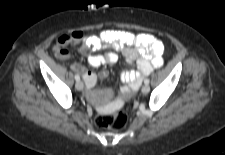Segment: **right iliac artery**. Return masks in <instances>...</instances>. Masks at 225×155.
<instances>
[{"mask_svg": "<svg viewBox=\"0 0 225 155\" xmlns=\"http://www.w3.org/2000/svg\"><path fill=\"white\" fill-rule=\"evenodd\" d=\"M76 81L80 80V76L78 74L75 75Z\"/></svg>", "mask_w": 225, "mask_h": 155, "instance_id": "82829eb1", "label": "right iliac artery"}]
</instances>
